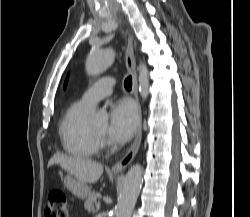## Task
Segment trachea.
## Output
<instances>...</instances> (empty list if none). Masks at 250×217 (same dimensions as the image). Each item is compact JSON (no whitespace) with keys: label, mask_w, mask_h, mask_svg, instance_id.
<instances>
[{"label":"trachea","mask_w":250,"mask_h":217,"mask_svg":"<svg viewBox=\"0 0 250 217\" xmlns=\"http://www.w3.org/2000/svg\"><path fill=\"white\" fill-rule=\"evenodd\" d=\"M124 86L126 89H131L132 88V77L129 76L125 79L124 81Z\"/></svg>","instance_id":"1"}]
</instances>
